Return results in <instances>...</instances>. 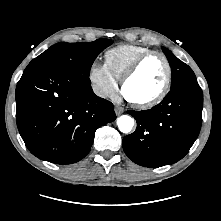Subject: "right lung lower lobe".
I'll list each match as a JSON object with an SVG mask.
<instances>
[{"label": "right lung lower lobe", "mask_w": 221, "mask_h": 221, "mask_svg": "<svg viewBox=\"0 0 221 221\" xmlns=\"http://www.w3.org/2000/svg\"><path fill=\"white\" fill-rule=\"evenodd\" d=\"M116 119L111 102L96 96L88 76L53 67L25 69L16 86V120L29 151L71 164L90 151L96 129Z\"/></svg>", "instance_id": "98d812e1"}]
</instances>
